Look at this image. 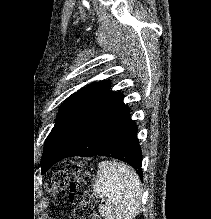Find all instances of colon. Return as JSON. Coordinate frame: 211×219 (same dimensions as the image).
I'll use <instances>...</instances> for the list:
<instances>
[{
    "label": "colon",
    "mask_w": 211,
    "mask_h": 219,
    "mask_svg": "<svg viewBox=\"0 0 211 219\" xmlns=\"http://www.w3.org/2000/svg\"><path fill=\"white\" fill-rule=\"evenodd\" d=\"M92 166L89 162L68 161L61 164L53 178L51 191L60 196L69 181V201L75 219H101L88 199L92 185Z\"/></svg>",
    "instance_id": "obj_1"
}]
</instances>
